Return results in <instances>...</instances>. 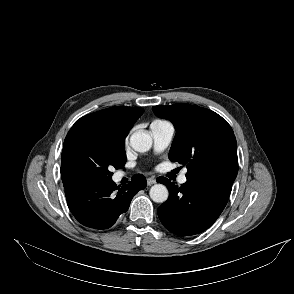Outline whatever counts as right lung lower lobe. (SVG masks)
<instances>
[{"instance_id":"1","label":"right lung lower lobe","mask_w":294,"mask_h":294,"mask_svg":"<svg viewBox=\"0 0 294 294\" xmlns=\"http://www.w3.org/2000/svg\"><path fill=\"white\" fill-rule=\"evenodd\" d=\"M146 187L143 175L136 174L121 188L112 180L65 188L68 207L82 225L95 229L111 227L125 213L133 196Z\"/></svg>"}]
</instances>
